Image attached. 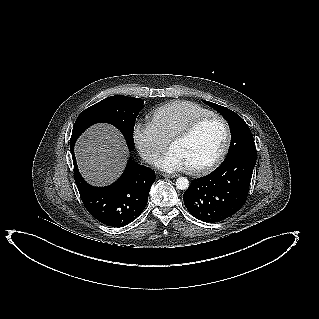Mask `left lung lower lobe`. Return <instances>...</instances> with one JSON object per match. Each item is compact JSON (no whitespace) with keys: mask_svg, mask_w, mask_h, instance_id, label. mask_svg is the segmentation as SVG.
<instances>
[{"mask_svg":"<svg viewBox=\"0 0 319 319\" xmlns=\"http://www.w3.org/2000/svg\"><path fill=\"white\" fill-rule=\"evenodd\" d=\"M256 159L236 157L223 162L209 175L193 180L183 195L187 210L208 223L234 215L247 199Z\"/></svg>","mask_w":319,"mask_h":319,"instance_id":"obj_1","label":"left lung lower lobe"}]
</instances>
